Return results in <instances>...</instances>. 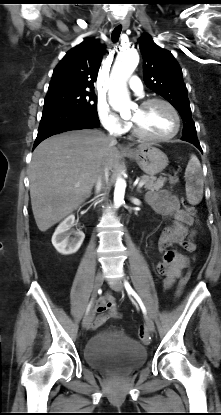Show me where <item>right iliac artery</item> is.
<instances>
[{"instance_id":"1","label":"right iliac artery","mask_w":221,"mask_h":415,"mask_svg":"<svg viewBox=\"0 0 221 415\" xmlns=\"http://www.w3.org/2000/svg\"><path fill=\"white\" fill-rule=\"evenodd\" d=\"M90 306H91V303L88 305V308H87V312L89 311V309H90Z\"/></svg>"}]
</instances>
